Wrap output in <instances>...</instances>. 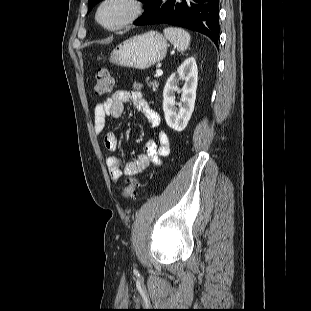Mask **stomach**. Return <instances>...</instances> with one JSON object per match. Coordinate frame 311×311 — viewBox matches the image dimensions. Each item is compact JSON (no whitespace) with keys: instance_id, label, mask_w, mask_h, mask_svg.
Instances as JSON below:
<instances>
[{"instance_id":"obj_1","label":"stomach","mask_w":311,"mask_h":311,"mask_svg":"<svg viewBox=\"0 0 311 311\" xmlns=\"http://www.w3.org/2000/svg\"><path fill=\"white\" fill-rule=\"evenodd\" d=\"M167 40L157 31L135 35L120 43L110 54L109 61L115 65L147 69L164 59Z\"/></svg>"}]
</instances>
